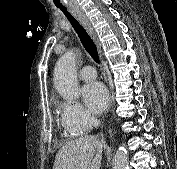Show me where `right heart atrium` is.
I'll use <instances>...</instances> for the list:
<instances>
[{
  "instance_id": "obj_1",
  "label": "right heart atrium",
  "mask_w": 177,
  "mask_h": 169,
  "mask_svg": "<svg viewBox=\"0 0 177 169\" xmlns=\"http://www.w3.org/2000/svg\"><path fill=\"white\" fill-rule=\"evenodd\" d=\"M58 108L62 125L71 133H82L95 122V118L76 101H63Z\"/></svg>"
}]
</instances>
